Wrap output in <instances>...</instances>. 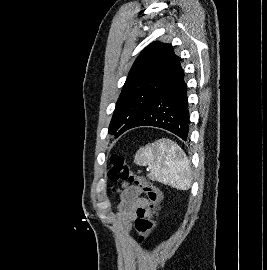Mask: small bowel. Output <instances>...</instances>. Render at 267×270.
<instances>
[{
	"mask_svg": "<svg viewBox=\"0 0 267 270\" xmlns=\"http://www.w3.org/2000/svg\"><path fill=\"white\" fill-rule=\"evenodd\" d=\"M148 199L138 186L124 184L120 192L117 222L125 234H130L138 213L148 209Z\"/></svg>",
	"mask_w": 267,
	"mask_h": 270,
	"instance_id": "c3829d8e",
	"label": "small bowel"
}]
</instances>
